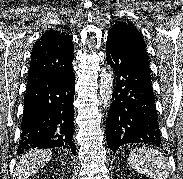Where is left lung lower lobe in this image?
<instances>
[{
  "mask_svg": "<svg viewBox=\"0 0 183 179\" xmlns=\"http://www.w3.org/2000/svg\"><path fill=\"white\" fill-rule=\"evenodd\" d=\"M106 61L113 68V102L108 112L106 139L115 152L131 142L160 147L158 123L147 56L138 44L109 33Z\"/></svg>",
  "mask_w": 183,
  "mask_h": 179,
  "instance_id": "obj_1",
  "label": "left lung lower lobe"
}]
</instances>
